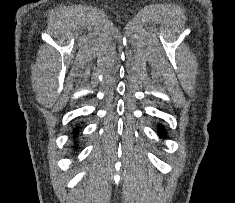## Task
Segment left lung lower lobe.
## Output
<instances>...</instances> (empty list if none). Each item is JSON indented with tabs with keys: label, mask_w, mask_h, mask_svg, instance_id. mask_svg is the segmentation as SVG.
<instances>
[{
	"label": "left lung lower lobe",
	"mask_w": 235,
	"mask_h": 203,
	"mask_svg": "<svg viewBox=\"0 0 235 203\" xmlns=\"http://www.w3.org/2000/svg\"><path fill=\"white\" fill-rule=\"evenodd\" d=\"M159 133H160V136H161V137H164L165 131H164L163 127H160Z\"/></svg>",
	"instance_id": "1"
}]
</instances>
